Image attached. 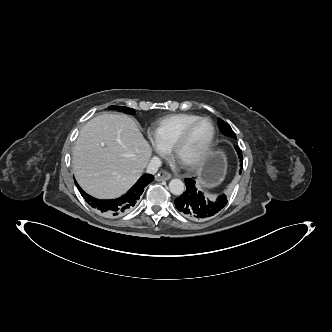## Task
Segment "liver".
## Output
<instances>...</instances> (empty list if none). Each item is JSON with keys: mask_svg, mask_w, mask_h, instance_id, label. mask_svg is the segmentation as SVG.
I'll return each instance as SVG.
<instances>
[{"mask_svg": "<svg viewBox=\"0 0 332 332\" xmlns=\"http://www.w3.org/2000/svg\"><path fill=\"white\" fill-rule=\"evenodd\" d=\"M151 148L136 123L124 114H102L81 129L72 158L79 185L100 199L127 192L141 176Z\"/></svg>", "mask_w": 332, "mask_h": 332, "instance_id": "obj_1", "label": "liver"}]
</instances>
